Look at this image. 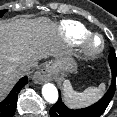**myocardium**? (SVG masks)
Instances as JSON below:
<instances>
[{
	"mask_svg": "<svg viewBox=\"0 0 117 117\" xmlns=\"http://www.w3.org/2000/svg\"><path fill=\"white\" fill-rule=\"evenodd\" d=\"M98 39L99 44L97 46L94 45V41ZM81 44V52L87 58H92L100 54L105 46L104 39L99 34H90L80 43Z\"/></svg>",
	"mask_w": 117,
	"mask_h": 117,
	"instance_id": "obj_1",
	"label": "myocardium"
}]
</instances>
